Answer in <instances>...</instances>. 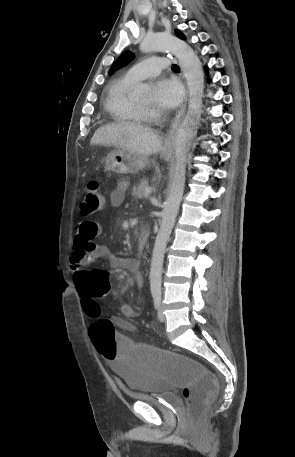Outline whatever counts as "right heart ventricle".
I'll return each instance as SVG.
<instances>
[{"instance_id":"e07e8e85","label":"right heart ventricle","mask_w":295,"mask_h":457,"mask_svg":"<svg viewBox=\"0 0 295 457\" xmlns=\"http://www.w3.org/2000/svg\"><path fill=\"white\" fill-rule=\"evenodd\" d=\"M137 81L127 76L112 81L106 88L104 105L113 120L123 123L147 121L145 109L130 95Z\"/></svg>"}]
</instances>
